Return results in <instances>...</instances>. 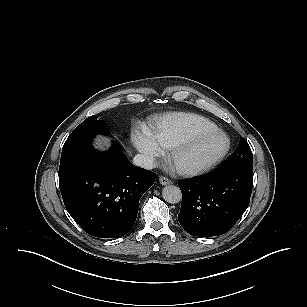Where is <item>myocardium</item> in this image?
<instances>
[{"label": "myocardium", "mask_w": 307, "mask_h": 307, "mask_svg": "<svg viewBox=\"0 0 307 307\" xmlns=\"http://www.w3.org/2000/svg\"><path fill=\"white\" fill-rule=\"evenodd\" d=\"M214 137H221L224 140L223 148L212 157L191 164H180L179 159L187 152L195 148L199 143ZM232 142L229 135L220 130L214 129L207 132L197 133L169 148L167 157L176 173L182 176H197L210 171L219 165L231 150Z\"/></svg>", "instance_id": "f54148a6"}]
</instances>
